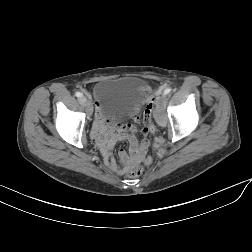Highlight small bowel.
I'll list each match as a JSON object with an SVG mask.
<instances>
[{
	"mask_svg": "<svg viewBox=\"0 0 252 252\" xmlns=\"http://www.w3.org/2000/svg\"><path fill=\"white\" fill-rule=\"evenodd\" d=\"M150 90V89H149ZM141 105L137 104L131 113V118L136 124H140ZM138 128L135 124L127 122L111 121L104 117L100 108L97 106L96 122L92 131L93 139L101 146L107 167L118 173L123 174L135 164L144 161L150 164L151 159L146 158L145 154L149 147V133L154 131L153 125L144 124L140 129L141 140L137 138ZM129 143V154L124 150L119 151L120 163L112 158L111 149L118 141Z\"/></svg>",
	"mask_w": 252,
	"mask_h": 252,
	"instance_id": "c3829d8e",
	"label": "small bowel"
}]
</instances>
